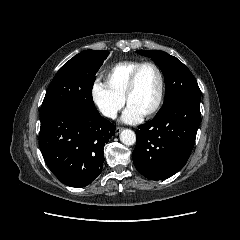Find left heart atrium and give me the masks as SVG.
<instances>
[{
    "mask_svg": "<svg viewBox=\"0 0 240 240\" xmlns=\"http://www.w3.org/2000/svg\"><path fill=\"white\" fill-rule=\"evenodd\" d=\"M143 114L135 107L128 105L122 114L121 121L128 124H134L141 120Z\"/></svg>",
    "mask_w": 240,
    "mask_h": 240,
    "instance_id": "left-heart-atrium-1",
    "label": "left heart atrium"
}]
</instances>
